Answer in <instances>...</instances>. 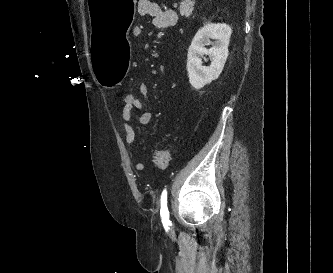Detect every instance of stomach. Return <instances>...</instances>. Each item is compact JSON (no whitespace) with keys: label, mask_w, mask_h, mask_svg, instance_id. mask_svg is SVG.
Masks as SVG:
<instances>
[{"label":"stomach","mask_w":333,"mask_h":273,"mask_svg":"<svg viewBox=\"0 0 333 273\" xmlns=\"http://www.w3.org/2000/svg\"><path fill=\"white\" fill-rule=\"evenodd\" d=\"M91 31L88 51L93 56V75L108 88L125 81L131 60L126 32L135 19L136 0H87Z\"/></svg>","instance_id":"1"}]
</instances>
